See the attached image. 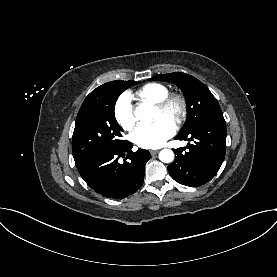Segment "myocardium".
<instances>
[{"label": "myocardium", "instance_id": "myocardium-1", "mask_svg": "<svg viewBox=\"0 0 277 277\" xmlns=\"http://www.w3.org/2000/svg\"><path fill=\"white\" fill-rule=\"evenodd\" d=\"M155 107L163 114L172 117V121L181 124L188 114V103L182 94L167 95L163 100L155 104Z\"/></svg>", "mask_w": 277, "mask_h": 277}]
</instances>
